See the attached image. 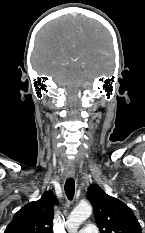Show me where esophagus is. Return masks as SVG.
<instances>
[{
    "label": "esophagus",
    "mask_w": 145,
    "mask_h": 233,
    "mask_svg": "<svg viewBox=\"0 0 145 233\" xmlns=\"http://www.w3.org/2000/svg\"><path fill=\"white\" fill-rule=\"evenodd\" d=\"M65 174H66L67 178H72L75 175V170L74 169H66Z\"/></svg>",
    "instance_id": "obj_1"
}]
</instances>
